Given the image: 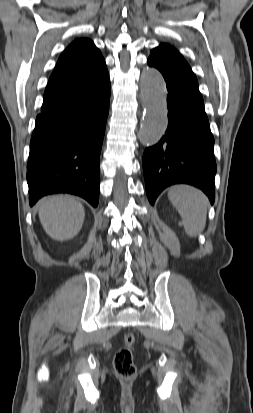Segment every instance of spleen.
Listing matches in <instances>:
<instances>
[{"instance_id":"1","label":"spleen","mask_w":253,"mask_h":413,"mask_svg":"<svg viewBox=\"0 0 253 413\" xmlns=\"http://www.w3.org/2000/svg\"><path fill=\"white\" fill-rule=\"evenodd\" d=\"M168 198L178 210L185 232L190 237H196L206 225L208 199L200 190L178 185L171 188Z\"/></svg>"}]
</instances>
